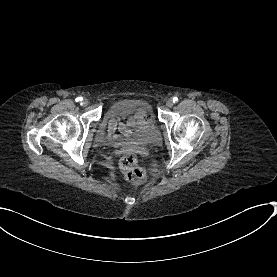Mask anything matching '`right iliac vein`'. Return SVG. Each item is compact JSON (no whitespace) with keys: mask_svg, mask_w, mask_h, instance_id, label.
Listing matches in <instances>:
<instances>
[{"mask_svg":"<svg viewBox=\"0 0 277 277\" xmlns=\"http://www.w3.org/2000/svg\"><path fill=\"white\" fill-rule=\"evenodd\" d=\"M81 104H82L83 106H87V105H88V100H87V99H84V100L81 102Z\"/></svg>","mask_w":277,"mask_h":277,"instance_id":"1","label":"right iliac vein"}]
</instances>
